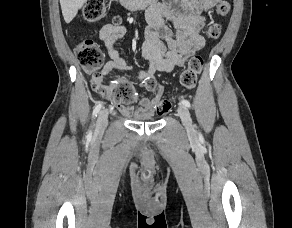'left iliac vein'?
I'll return each instance as SVG.
<instances>
[{
  "label": "left iliac vein",
  "instance_id": "left-iliac-vein-1",
  "mask_svg": "<svg viewBox=\"0 0 292 228\" xmlns=\"http://www.w3.org/2000/svg\"><path fill=\"white\" fill-rule=\"evenodd\" d=\"M177 113L179 117L181 118V121L183 125L185 126L186 130L188 131V133L193 134L194 126L192 124V119H191L188 108L180 104L177 108Z\"/></svg>",
  "mask_w": 292,
  "mask_h": 228
}]
</instances>
